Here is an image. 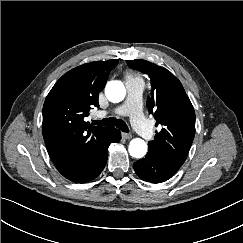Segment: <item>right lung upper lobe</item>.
I'll list each match as a JSON object with an SVG mask.
<instances>
[{"mask_svg":"<svg viewBox=\"0 0 243 243\" xmlns=\"http://www.w3.org/2000/svg\"><path fill=\"white\" fill-rule=\"evenodd\" d=\"M118 60L96 61L65 73L47 95L43 106L42 132L54 163L81 162L103 143L111 128L91 127L84 118L99 107L98 94Z\"/></svg>","mask_w":243,"mask_h":243,"instance_id":"right-lung-upper-lobe-1","label":"right lung upper lobe"}]
</instances>
